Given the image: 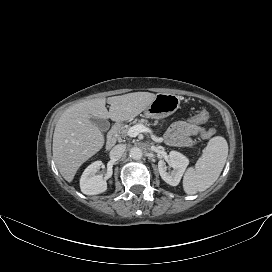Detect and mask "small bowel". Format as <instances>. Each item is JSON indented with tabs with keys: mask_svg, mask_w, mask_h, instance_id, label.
<instances>
[{
	"mask_svg": "<svg viewBox=\"0 0 272 272\" xmlns=\"http://www.w3.org/2000/svg\"><path fill=\"white\" fill-rule=\"evenodd\" d=\"M203 132V129L194 123L178 121L170 126L166 133V141L172 146H189L191 137Z\"/></svg>",
	"mask_w": 272,
	"mask_h": 272,
	"instance_id": "1",
	"label": "small bowel"
}]
</instances>
